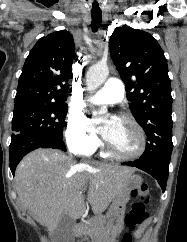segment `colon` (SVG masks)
<instances>
[{
    "mask_svg": "<svg viewBox=\"0 0 187 242\" xmlns=\"http://www.w3.org/2000/svg\"><path fill=\"white\" fill-rule=\"evenodd\" d=\"M133 196L136 201L133 203L130 211L125 217L126 226L130 231H133L147 219L146 206L149 204L151 196L147 184H142L139 189L133 191ZM130 234H126L122 242H131Z\"/></svg>",
    "mask_w": 187,
    "mask_h": 242,
    "instance_id": "1",
    "label": "colon"
}]
</instances>
